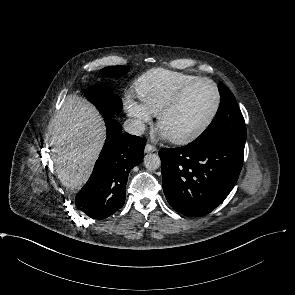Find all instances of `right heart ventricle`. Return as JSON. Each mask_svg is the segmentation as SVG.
<instances>
[{
	"label": "right heart ventricle",
	"mask_w": 295,
	"mask_h": 295,
	"mask_svg": "<svg viewBox=\"0 0 295 295\" xmlns=\"http://www.w3.org/2000/svg\"><path fill=\"white\" fill-rule=\"evenodd\" d=\"M197 78L186 73L153 69L139 77L136 91L152 114L158 115L181 88Z\"/></svg>",
	"instance_id": "e07e8e85"
}]
</instances>
